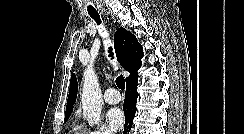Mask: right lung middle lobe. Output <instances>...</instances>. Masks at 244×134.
Segmentation results:
<instances>
[{"instance_id":"dd1d6c3e","label":"right lung middle lobe","mask_w":244,"mask_h":134,"mask_svg":"<svg viewBox=\"0 0 244 134\" xmlns=\"http://www.w3.org/2000/svg\"><path fill=\"white\" fill-rule=\"evenodd\" d=\"M70 115H65V121L69 119Z\"/></svg>"}]
</instances>
